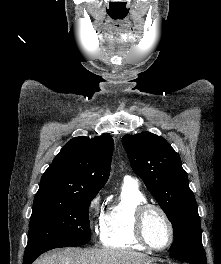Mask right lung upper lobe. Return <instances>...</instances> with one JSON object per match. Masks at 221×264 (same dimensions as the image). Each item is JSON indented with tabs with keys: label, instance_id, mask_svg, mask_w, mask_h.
Instances as JSON below:
<instances>
[{
	"label": "right lung upper lobe",
	"instance_id": "1",
	"mask_svg": "<svg viewBox=\"0 0 221 264\" xmlns=\"http://www.w3.org/2000/svg\"><path fill=\"white\" fill-rule=\"evenodd\" d=\"M113 148L108 134L70 140L43 174L37 194L98 193L108 180Z\"/></svg>",
	"mask_w": 221,
	"mask_h": 264
}]
</instances>
